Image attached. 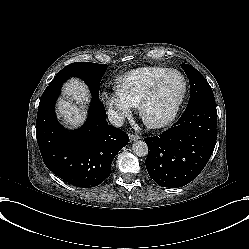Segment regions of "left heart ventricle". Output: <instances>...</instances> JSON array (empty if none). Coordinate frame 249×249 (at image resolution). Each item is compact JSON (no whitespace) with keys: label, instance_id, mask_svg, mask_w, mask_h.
<instances>
[{"label":"left heart ventricle","instance_id":"b2bd125f","mask_svg":"<svg viewBox=\"0 0 249 249\" xmlns=\"http://www.w3.org/2000/svg\"><path fill=\"white\" fill-rule=\"evenodd\" d=\"M181 89L180 78L177 75L171 76L155 98L145 107V116L154 121L165 119L174 108Z\"/></svg>","mask_w":249,"mask_h":249}]
</instances>
